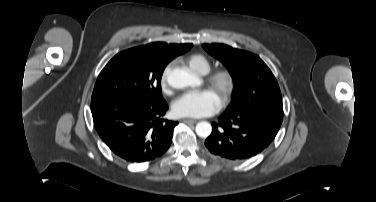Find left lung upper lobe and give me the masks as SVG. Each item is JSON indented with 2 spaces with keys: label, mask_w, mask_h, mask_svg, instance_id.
<instances>
[{
  "label": "left lung upper lobe",
  "mask_w": 376,
  "mask_h": 202,
  "mask_svg": "<svg viewBox=\"0 0 376 202\" xmlns=\"http://www.w3.org/2000/svg\"><path fill=\"white\" fill-rule=\"evenodd\" d=\"M203 48L227 66L236 82V97L227 112L239 115L257 110L283 118L278 83L258 56L224 44H203Z\"/></svg>",
  "instance_id": "1"
}]
</instances>
